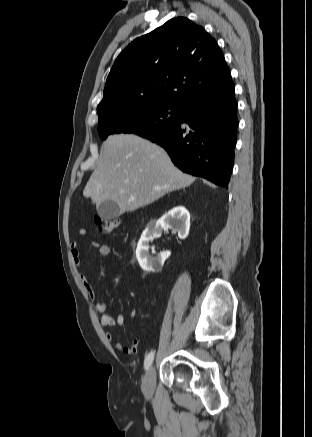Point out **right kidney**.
Returning <instances> with one entry per match:
<instances>
[{
  "mask_svg": "<svg viewBox=\"0 0 312 437\" xmlns=\"http://www.w3.org/2000/svg\"><path fill=\"white\" fill-rule=\"evenodd\" d=\"M172 228L177 231L180 239H185L190 229V214L183 206H178L164 214L155 225H149L142 233L137 244L136 258L141 268L148 272L159 271L164 261L168 258L169 252L158 257H151L149 254V242L154 237L161 235L163 229Z\"/></svg>",
  "mask_w": 312,
  "mask_h": 437,
  "instance_id": "ca27d5eb",
  "label": "right kidney"
}]
</instances>
